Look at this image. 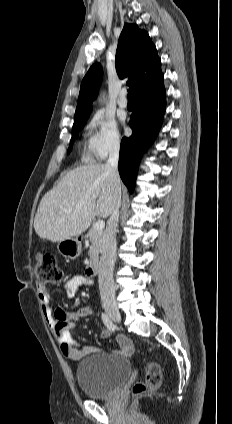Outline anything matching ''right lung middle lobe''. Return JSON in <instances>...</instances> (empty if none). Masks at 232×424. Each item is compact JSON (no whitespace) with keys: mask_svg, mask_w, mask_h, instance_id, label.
<instances>
[{"mask_svg":"<svg viewBox=\"0 0 232 424\" xmlns=\"http://www.w3.org/2000/svg\"><path fill=\"white\" fill-rule=\"evenodd\" d=\"M87 119H88V117H85V118L74 121L73 129H72V136L73 137L71 138L68 153H70V151L72 149L73 139L77 137L79 130L86 124Z\"/></svg>","mask_w":232,"mask_h":424,"instance_id":"dd1d6c3e","label":"right lung middle lobe"}]
</instances>
